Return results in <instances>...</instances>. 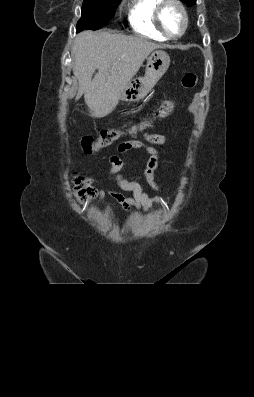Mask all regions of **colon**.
Masks as SVG:
<instances>
[{
    "mask_svg": "<svg viewBox=\"0 0 254 397\" xmlns=\"http://www.w3.org/2000/svg\"><path fill=\"white\" fill-rule=\"evenodd\" d=\"M197 83V75L195 72L186 73L181 79V86L184 89H191ZM176 102L173 99L162 100L159 105L154 109L153 115L156 118H165L170 115ZM149 126V122H142L132 127V132H138L146 129ZM122 135V132L116 128L102 129L96 138L92 136H85L81 140L82 148L86 154L96 152L116 140ZM75 186L78 194L82 197L93 194L92 188H90V181L85 177H77L75 179Z\"/></svg>",
    "mask_w": 254,
    "mask_h": 397,
    "instance_id": "1",
    "label": "colon"
}]
</instances>
